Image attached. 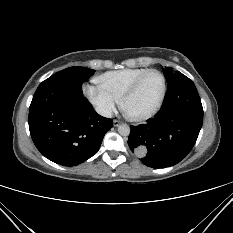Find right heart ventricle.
<instances>
[{
	"instance_id": "1",
	"label": "right heart ventricle",
	"mask_w": 233,
	"mask_h": 233,
	"mask_svg": "<svg viewBox=\"0 0 233 233\" xmlns=\"http://www.w3.org/2000/svg\"><path fill=\"white\" fill-rule=\"evenodd\" d=\"M147 70L149 69L126 68L109 71L98 76L96 82L119 100L130 85Z\"/></svg>"
}]
</instances>
